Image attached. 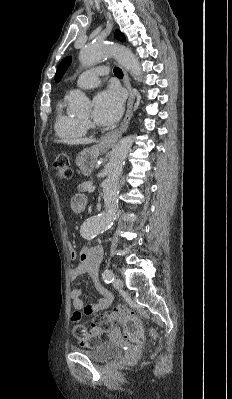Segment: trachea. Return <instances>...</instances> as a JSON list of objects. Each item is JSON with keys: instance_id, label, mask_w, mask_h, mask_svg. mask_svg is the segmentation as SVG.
Returning <instances> with one entry per match:
<instances>
[{"instance_id": "3493384b", "label": "trachea", "mask_w": 232, "mask_h": 399, "mask_svg": "<svg viewBox=\"0 0 232 399\" xmlns=\"http://www.w3.org/2000/svg\"><path fill=\"white\" fill-rule=\"evenodd\" d=\"M113 71L116 77L123 78V72L121 68L115 67Z\"/></svg>"}]
</instances>
